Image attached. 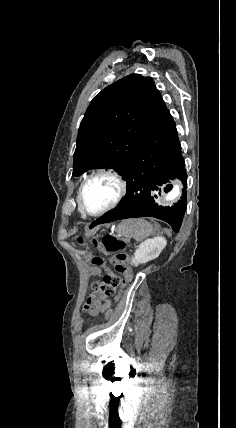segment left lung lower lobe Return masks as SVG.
<instances>
[{
    "mask_svg": "<svg viewBox=\"0 0 236 428\" xmlns=\"http://www.w3.org/2000/svg\"><path fill=\"white\" fill-rule=\"evenodd\" d=\"M123 177L127 182L123 201L92 222L90 228L120 219L155 217L169 223L177 233L187 206V174L176 125L168 109L146 132ZM173 178L184 185L181 200L172 207L158 206L153 200L155 193L171 190Z\"/></svg>",
    "mask_w": 236,
    "mask_h": 428,
    "instance_id": "1",
    "label": "left lung lower lobe"
}]
</instances>
